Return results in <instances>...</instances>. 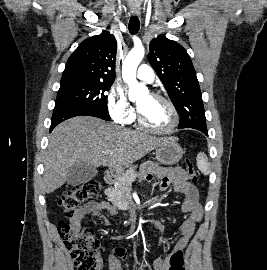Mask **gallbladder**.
Wrapping results in <instances>:
<instances>
[{"mask_svg": "<svg viewBox=\"0 0 267 270\" xmlns=\"http://www.w3.org/2000/svg\"><path fill=\"white\" fill-rule=\"evenodd\" d=\"M98 170L96 167L86 163H76L67 171V184L76 186L86 183L96 177Z\"/></svg>", "mask_w": 267, "mask_h": 270, "instance_id": "gallbladder-1", "label": "gallbladder"}]
</instances>
